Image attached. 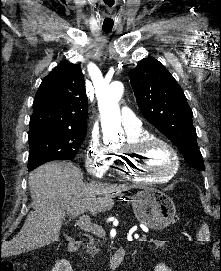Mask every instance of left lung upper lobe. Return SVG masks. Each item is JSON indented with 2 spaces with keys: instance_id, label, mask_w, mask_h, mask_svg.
<instances>
[{
  "instance_id": "obj_1",
  "label": "left lung upper lobe",
  "mask_w": 221,
  "mask_h": 271,
  "mask_svg": "<svg viewBox=\"0 0 221 271\" xmlns=\"http://www.w3.org/2000/svg\"><path fill=\"white\" fill-rule=\"evenodd\" d=\"M129 78L145 118L178 147L193 168L205 170L192 110L171 73L155 58L148 57L129 71Z\"/></svg>"
}]
</instances>
